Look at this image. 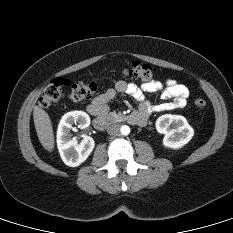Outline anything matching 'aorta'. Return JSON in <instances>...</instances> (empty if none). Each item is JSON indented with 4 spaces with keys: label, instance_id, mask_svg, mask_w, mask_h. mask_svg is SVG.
<instances>
[{
    "label": "aorta",
    "instance_id": "762f6f07",
    "mask_svg": "<svg viewBox=\"0 0 233 233\" xmlns=\"http://www.w3.org/2000/svg\"><path fill=\"white\" fill-rule=\"evenodd\" d=\"M120 132L122 135H128L130 133V128L129 126L127 125H123L121 128H120Z\"/></svg>",
    "mask_w": 233,
    "mask_h": 233
}]
</instances>
